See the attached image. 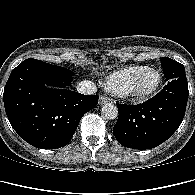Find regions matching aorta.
<instances>
[{"mask_svg": "<svg viewBox=\"0 0 195 195\" xmlns=\"http://www.w3.org/2000/svg\"><path fill=\"white\" fill-rule=\"evenodd\" d=\"M102 115L108 120H114L118 117V108L112 103H106L101 109Z\"/></svg>", "mask_w": 195, "mask_h": 195, "instance_id": "762f6f07", "label": "aorta"}]
</instances>
